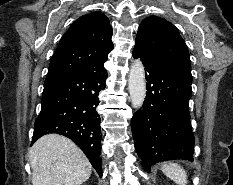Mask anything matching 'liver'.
Masks as SVG:
<instances>
[{
    "label": "liver",
    "mask_w": 233,
    "mask_h": 185,
    "mask_svg": "<svg viewBox=\"0 0 233 185\" xmlns=\"http://www.w3.org/2000/svg\"><path fill=\"white\" fill-rule=\"evenodd\" d=\"M33 185H81L92 166L82 150L70 139L47 134L29 150Z\"/></svg>",
    "instance_id": "1"
}]
</instances>
